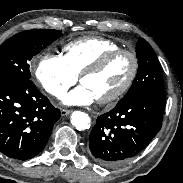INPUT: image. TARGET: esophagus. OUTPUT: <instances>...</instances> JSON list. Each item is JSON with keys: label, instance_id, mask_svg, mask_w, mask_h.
I'll use <instances>...</instances> for the list:
<instances>
[{"label": "esophagus", "instance_id": "1", "mask_svg": "<svg viewBox=\"0 0 183 183\" xmlns=\"http://www.w3.org/2000/svg\"><path fill=\"white\" fill-rule=\"evenodd\" d=\"M71 113V110H68V109H62L61 110V116H65V115H68Z\"/></svg>", "mask_w": 183, "mask_h": 183}]
</instances>
